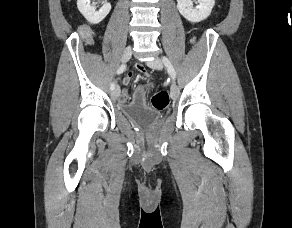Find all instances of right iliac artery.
<instances>
[{"mask_svg":"<svg viewBox=\"0 0 292 228\" xmlns=\"http://www.w3.org/2000/svg\"><path fill=\"white\" fill-rule=\"evenodd\" d=\"M126 69V66L125 65H121L118 69H117V74H121L124 72V70ZM110 89L111 90H114L115 89V83H111V86H110Z\"/></svg>","mask_w":292,"mask_h":228,"instance_id":"1","label":"right iliac artery"}]
</instances>
